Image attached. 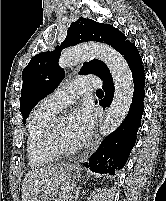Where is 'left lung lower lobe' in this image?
<instances>
[{
  "mask_svg": "<svg viewBox=\"0 0 166 201\" xmlns=\"http://www.w3.org/2000/svg\"><path fill=\"white\" fill-rule=\"evenodd\" d=\"M126 59L133 76L134 93L129 112L122 124L100 144L96 152L84 164L93 172L100 174L121 170L128 159V155L135 145L136 134L141 125L144 112L145 71L142 58L134 44H130L122 54ZM105 97L99 104L105 108L112 102L114 95L113 79L111 74L102 78Z\"/></svg>",
  "mask_w": 166,
  "mask_h": 201,
  "instance_id": "0a47b994",
  "label": "left lung lower lobe"
}]
</instances>
